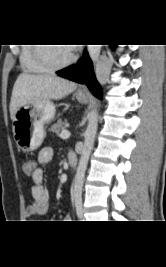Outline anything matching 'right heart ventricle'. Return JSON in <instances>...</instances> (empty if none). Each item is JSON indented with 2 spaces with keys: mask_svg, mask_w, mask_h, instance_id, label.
<instances>
[{
  "mask_svg": "<svg viewBox=\"0 0 166 267\" xmlns=\"http://www.w3.org/2000/svg\"><path fill=\"white\" fill-rule=\"evenodd\" d=\"M29 44L23 46L20 50L19 61L21 67L31 73H47L50 71L49 68L42 65L35 56V46Z\"/></svg>",
  "mask_w": 166,
  "mask_h": 267,
  "instance_id": "1",
  "label": "right heart ventricle"
}]
</instances>
